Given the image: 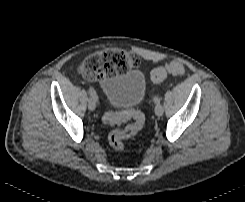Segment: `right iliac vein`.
<instances>
[{
	"mask_svg": "<svg viewBox=\"0 0 245 202\" xmlns=\"http://www.w3.org/2000/svg\"><path fill=\"white\" fill-rule=\"evenodd\" d=\"M88 108L89 110L93 111L96 108V102L93 98H89L88 100Z\"/></svg>",
	"mask_w": 245,
	"mask_h": 202,
	"instance_id": "63e3f726",
	"label": "right iliac vein"
}]
</instances>
